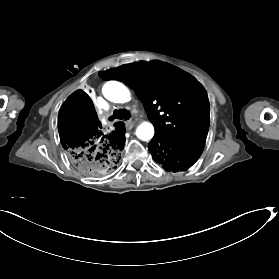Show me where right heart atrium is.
Instances as JSON below:
<instances>
[{
    "label": "right heart atrium",
    "instance_id": "1",
    "mask_svg": "<svg viewBox=\"0 0 279 279\" xmlns=\"http://www.w3.org/2000/svg\"><path fill=\"white\" fill-rule=\"evenodd\" d=\"M142 133L144 134L147 133V129L142 130Z\"/></svg>",
    "mask_w": 279,
    "mask_h": 279
}]
</instances>
